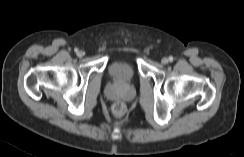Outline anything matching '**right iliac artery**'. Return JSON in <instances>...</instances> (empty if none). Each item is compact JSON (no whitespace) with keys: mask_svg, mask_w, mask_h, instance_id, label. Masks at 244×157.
I'll return each mask as SVG.
<instances>
[{"mask_svg":"<svg viewBox=\"0 0 244 157\" xmlns=\"http://www.w3.org/2000/svg\"><path fill=\"white\" fill-rule=\"evenodd\" d=\"M74 51H75L76 53H78L79 50H78L77 48H75Z\"/></svg>","mask_w":244,"mask_h":157,"instance_id":"obj_1","label":"right iliac artery"}]
</instances>
